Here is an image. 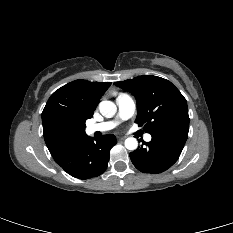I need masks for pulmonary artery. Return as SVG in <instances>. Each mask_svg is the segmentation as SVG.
<instances>
[{
    "label": "pulmonary artery",
    "instance_id": "pulmonary-artery-1",
    "mask_svg": "<svg viewBox=\"0 0 233 233\" xmlns=\"http://www.w3.org/2000/svg\"><path fill=\"white\" fill-rule=\"evenodd\" d=\"M118 114L112 121H106L101 123H94L87 126L86 131L88 134L95 132H105L113 129L121 120L130 118L135 111V102L133 98L127 94H121L117 97ZM151 135L146 134L144 139L146 141L151 140Z\"/></svg>",
    "mask_w": 233,
    "mask_h": 233
}]
</instances>
